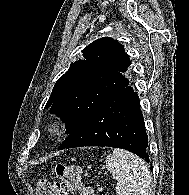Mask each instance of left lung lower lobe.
I'll return each mask as SVG.
<instances>
[{
  "label": "left lung lower lobe",
  "instance_id": "left-lung-lower-lobe-1",
  "mask_svg": "<svg viewBox=\"0 0 189 195\" xmlns=\"http://www.w3.org/2000/svg\"><path fill=\"white\" fill-rule=\"evenodd\" d=\"M148 137L138 95L128 85L112 95L62 142L58 149L81 146L123 148L149 162Z\"/></svg>",
  "mask_w": 189,
  "mask_h": 195
}]
</instances>
